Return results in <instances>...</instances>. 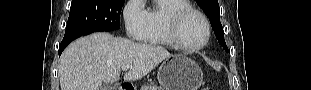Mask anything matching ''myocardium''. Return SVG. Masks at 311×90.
Segmentation results:
<instances>
[{"label": "myocardium", "mask_w": 311, "mask_h": 90, "mask_svg": "<svg viewBox=\"0 0 311 90\" xmlns=\"http://www.w3.org/2000/svg\"><path fill=\"white\" fill-rule=\"evenodd\" d=\"M198 15L204 22L206 28V36L203 42L198 45H189L185 43L180 35V27L184 19L191 15ZM168 32L170 39L175 47L184 51H198L203 49L211 38V25L207 16L193 7H187L174 12L168 20Z\"/></svg>", "instance_id": "f54148a6"}]
</instances>
